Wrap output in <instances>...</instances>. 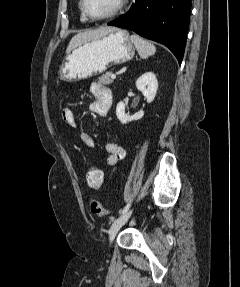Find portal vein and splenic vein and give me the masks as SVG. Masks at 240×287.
Instances as JSON below:
<instances>
[{
	"label": "portal vein and splenic vein",
	"instance_id": "obj_1",
	"mask_svg": "<svg viewBox=\"0 0 240 287\" xmlns=\"http://www.w3.org/2000/svg\"><path fill=\"white\" fill-rule=\"evenodd\" d=\"M111 77H112V78H115V77H116V75H115V74H112V75H111Z\"/></svg>",
	"mask_w": 240,
	"mask_h": 287
}]
</instances>
